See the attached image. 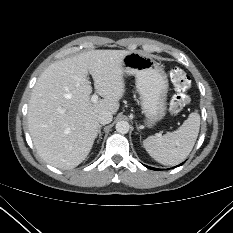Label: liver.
Returning <instances> with one entry per match:
<instances>
[{
    "mask_svg": "<svg viewBox=\"0 0 233 233\" xmlns=\"http://www.w3.org/2000/svg\"><path fill=\"white\" fill-rule=\"evenodd\" d=\"M126 50H91L56 61L38 78L28 106V129L40 157L59 169H72L88 156L102 111L116 114L125 92ZM88 73L104 99L93 103Z\"/></svg>",
    "mask_w": 233,
    "mask_h": 233,
    "instance_id": "obj_1",
    "label": "liver"
}]
</instances>
